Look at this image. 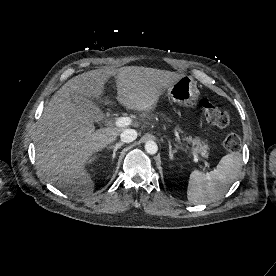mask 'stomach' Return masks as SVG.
<instances>
[{
  "label": "stomach",
  "instance_id": "stomach-1",
  "mask_svg": "<svg viewBox=\"0 0 276 276\" xmlns=\"http://www.w3.org/2000/svg\"><path fill=\"white\" fill-rule=\"evenodd\" d=\"M167 95L184 107L194 108L198 104L200 93L192 77L182 76L167 89Z\"/></svg>",
  "mask_w": 276,
  "mask_h": 276
}]
</instances>
